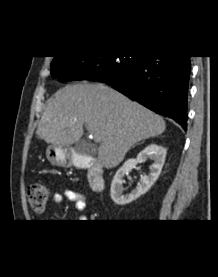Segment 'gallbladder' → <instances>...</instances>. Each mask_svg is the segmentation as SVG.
Returning a JSON list of instances; mask_svg holds the SVG:
<instances>
[{"label": "gallbladder", "mask_w": 218, "mask_h": 277, "mask_svg": "<svg viewBox=\"0 0 218 277\" xmlns=\"http://www.w3.org/2000/svg\"><path fill=\"white\" fill-rule=\"evenodd\" d=\"M74 149L78 154H81V155H94L95 154V149L92 148L89 145V143L85 140H80V141L76 142Z\"/></svg>", "instance_id": "gallbladder-1"}]
</instances>
